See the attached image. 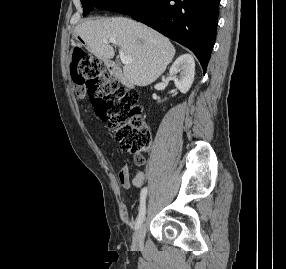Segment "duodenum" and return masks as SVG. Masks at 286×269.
<instances>
[{"label": "duodenum", "mask_w": 286, "mask_h": 269, "mask_svg": "<svg viewBox=\"0 0 286 269\" xmlns=\"http://www.w3.org/2000/svg\"><path fill=\"white\" fill-rule=\"evenodd\" d=\"M106 64H107V68H108V70L112 76L122 78V79L124 78L123 72L120 69V67L117 65V63L108 61ZM125 83L127 86H132L131 83L126 81V80H125Z\"/></svg>", "instance_id": "410a0bca"}]
</instances>
